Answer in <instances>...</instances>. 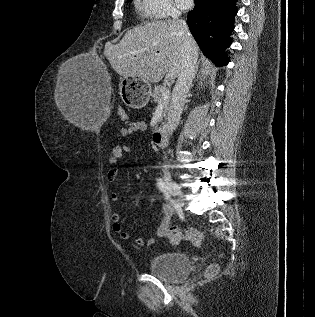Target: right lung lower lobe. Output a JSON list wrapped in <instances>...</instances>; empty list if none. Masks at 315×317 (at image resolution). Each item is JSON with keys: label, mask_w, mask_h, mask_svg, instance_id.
I'll return each instance as SVG.
<instances>
[{"label": "right lung lower lobe", "mask_w": 315, "mask_h": 317, "mask_svg": "<svg viewBox=\"0 0 315 317\" xmlns=\"http://www.w3.org/2000/svg\"><path fill=\"white\" fill-rule=\"evenodd\" d=\"M237 0H195V7L188 12L187 23L204 55L216 65L229 59L225 49L230 46L234 28ZM212 35L213 38H209Z\"/></svg>", "instance_id": "98d812e1"}]
</instances>
